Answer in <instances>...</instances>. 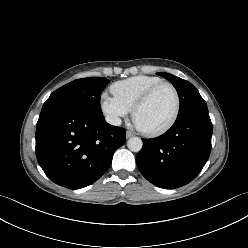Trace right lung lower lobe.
Wrapping results in <instances>:
<instances>
[{
  "label": "right lung lower lobe",
  "instance_id": "obj_1",
  "mask_svg": "<svg viewBox=\"0 0 248 248\" xmlns=\"http://www.w3.org/2000/svg\"><path fill=\"white\" fill-rule=\"evenodd\" d=\"M126 130L108 124L103 114L61 104L43 108L36 125V157L54 183L79 189L97 181L110 167Z\"/></svg>",
  "mask_w": 248,
  "mask_h": 248
}]
</instances>
